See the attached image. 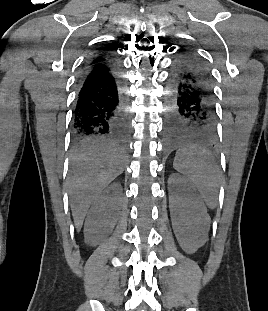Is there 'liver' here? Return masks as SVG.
Returning a JSON list of instances; mask_svg holds the SVG:
<instances>
[{
	"mask_svg": "<svg viewBox=\"0 0 268 311\" xmlns=\"http://www.w3.org/2000/svg\"><path fill=\"white\" fill-rule=\"evenodd\" d=\"M123 157L112 144L89 146L73 154L69 178L72 216L79 231L90 205L123 172Z\"/></svg>",
	"mask_w": 268,
	"mask_h": 311,
	"instance_id": "liver-1",
	"label": "liver"
}]
</instances>
